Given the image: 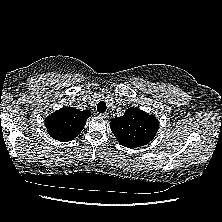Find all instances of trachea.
<instances>
[{
  "mask_svg": "<svg viewBox=\"0 0 222 222\" xmlns=\"http://www.w3.org/2000/svg\"><path fill=\"white\" fill-rule=\"evenodd\" d=\"M107 109L106 103L104 101H100L97 105V111L99 113H104Z\"/></svg>",
  "mask_w": 222,
  "mask_h": 222,
  "instance_id": "1",
  "label": "trachea"
}]
</instances>
